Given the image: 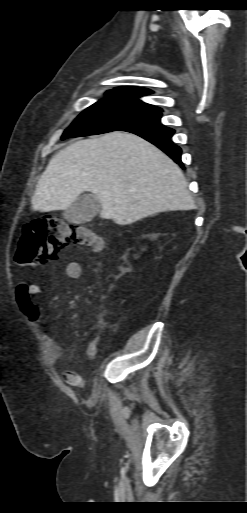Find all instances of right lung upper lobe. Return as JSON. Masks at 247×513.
Returning a JSON list of instances; mask_svg holds the SVG:
<instances>
[{
  "label": "right lung upper lobe",
  "instance_id": "right-lung-upper-lobe-1",
  "mask_svg": "<svg viewBox=\"0 0 247 513\" xmlns=\"http://www.w3.org/2000/svg\"><path fill=\"white\" fill-rule=\"evenodd\" d=\"M112 91L127 92V93L134 95L135 97H141V96L148 95V94L152 93L151 90L146 89V88L130 87V86L117 87Z\"/></svg>",
  "mask_w": 247,
  "mask_h": 513
}]
</instances>
